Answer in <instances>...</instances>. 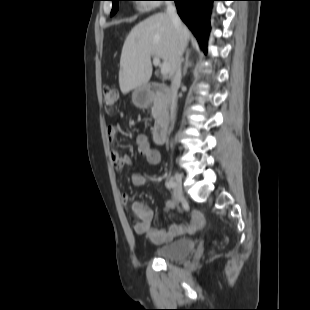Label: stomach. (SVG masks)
Here are the masks:
<instances>
[{
    "label": "stomach",
    "mask_w": 310,
    "mask_h": 310,
    "mask_svg": "<svg viewBox=\"0 0 310 310\" xmlns=\"http://www.w3.org/2000/svg\"><path fill=\"white\" fill-rule=\"evenodd\" d=\"M132 101L136 106H145L148 101V95L146 90L142 87L136 88L132 93Z\"/></svg>",
    "instance_id": "obj_1"
}]
</instances>
